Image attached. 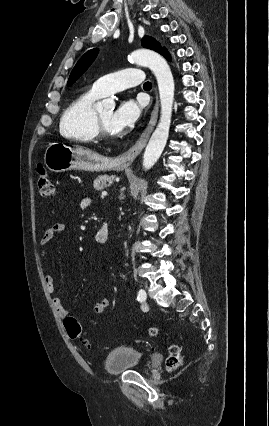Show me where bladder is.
Masks as SVG:
<instances>
[{
    "label": "bladder",
    "instance_id": "obj_1",
    "mask_svg": "<svg viewBox=\"0 0 269 426\" xmlns=\"http://www.w3.org/2000/svg\"><path fill=\"white\" fill-rule=\"evenodd\" d=\"M142 360L141 353L129 346L113 348L106 355L103 367L110 375H119L131 371L139 366Z\"/></svg>",
    "mask_w": 269,
    "mask_h": 426
}]
</instances>
